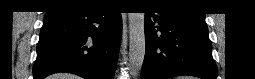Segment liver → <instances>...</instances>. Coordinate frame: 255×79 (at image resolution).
Returning a JSON list of instances; mask_svg holds the SVG:
<instances>
[{"instance_id": "obj_1", "label": "liver", "mask_w": 255, "mask_h": 79, "mask_svg": "<svg viewBox=\"0 0 255 79\" xmlns=\"http://www.w3.org/2000/svg\"><path fill=\"white\" fill-rule=\"evenodd\" d=\"M50 79H80L79 76L72 74H55L49 77Z\"/></svg>"}]
</instances>
